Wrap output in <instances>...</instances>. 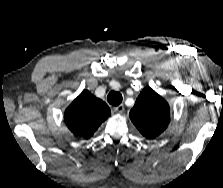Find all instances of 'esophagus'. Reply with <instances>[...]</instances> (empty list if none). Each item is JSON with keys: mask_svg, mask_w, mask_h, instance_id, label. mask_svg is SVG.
Returning a JSON list of instances; mask_svg holds the SVG:
<instances>
[{"mask_svg": "<svg viewBox=\"0 0 223 188\" xmlns=\"http://www.w3.org/2000/svg\"><path fill=\"white\" fill-rule=\"evenodd\" d=\"M124 105L123 104H121V105H118V106H116V107H114L113 108V111L115 112V113H117V114H121V113H123L124 112Z\"/></svg>", "mask_w": 223, "mask_h": 188, "instance_id": "1", "label": "esophagus"}]
</instances>
